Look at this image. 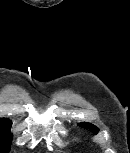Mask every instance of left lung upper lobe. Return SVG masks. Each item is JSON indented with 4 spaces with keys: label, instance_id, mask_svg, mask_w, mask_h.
<instances>
[{
    "label": "left lung upper lobe",
    "instance_id": "obj_1",
    "mask_svg": "<svg viewBox=\"0 0 130 153\" xmlns=\"http://www.w3.org/2000/svg\"><path fill=\"white\" fill-rule=\"evenodd\" d=\"M78 125L81 126V127H83V128L90 129L95 134L98 132V128L96 126H94L93 124H91V123L82 122V123H79Z\"/></svg>",
    "mask_w": 130,
    "mask_h": 153
}]
</instances>
